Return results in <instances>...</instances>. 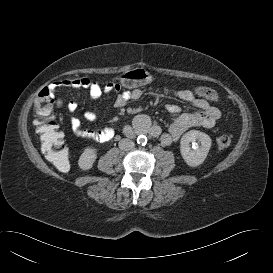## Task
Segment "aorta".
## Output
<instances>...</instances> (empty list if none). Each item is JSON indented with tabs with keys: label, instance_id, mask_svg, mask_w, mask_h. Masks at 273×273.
Segmentation results:
<instances>
[{
	"label": "aorta",
	"instance_id": "aorta-1",
	"mask_svg": "<svg viewBox=\"0 0 273 273\" xmlns=\"http://www.w3.org/2000/svg\"><path fill=\"white\" fill-rule=\"evenodd\" d=\"M137 143L141 145H146L147 138L144 135H139L137 138Z\"/></svg>",
	"mask_w": 273,
	"mask_h": 273
}]
</instances>
